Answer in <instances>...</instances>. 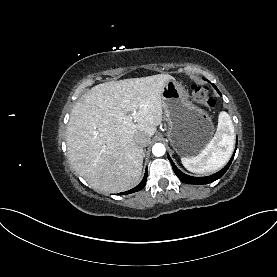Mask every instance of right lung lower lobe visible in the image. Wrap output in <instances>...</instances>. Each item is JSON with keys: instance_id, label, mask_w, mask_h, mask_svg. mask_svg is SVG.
Here are the masks:
<instances>
[{"instance_id": "1", "label": "right lung lower lobe", "mask_w": 277, "mask_h": 277, "mask_svg": "<svg viewBox=\"0 0 277 277\" xmlns=\"http://www.w3.org/2000/svg\"><path fill=\"white\" fill-rule=\"evenodd\" d=\"M146 178H147V170L145 172V175L142 179V181L140 182V184L138 186H136L135 188L131 189V190H128L124 193H119V194H124V195H127V194H130V193H134V192H137V191H140L141 189H143L146 185Z\"/></svg>"}]
</instances>
